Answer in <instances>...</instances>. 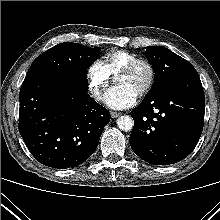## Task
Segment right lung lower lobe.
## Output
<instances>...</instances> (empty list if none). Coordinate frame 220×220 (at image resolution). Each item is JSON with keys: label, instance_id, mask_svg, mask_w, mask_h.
<instances>
[{"label": "right lung lower lobe", "instance_id": "98d812e1", "mask_svg": "<svg viewBox=\"0 0 220 220\" xmlns=\"http://www.w3.org/2000/svg\"><path fill=\"white\" fill-rule=\"evenodd\" d=\"M83 73L27 75L20 89L19 131L41 164L80 165L96 150L108 110L87 93Z\"/></svg>", "mask_w": 220, "mask_h": 220}]
</instances>
